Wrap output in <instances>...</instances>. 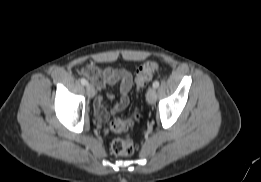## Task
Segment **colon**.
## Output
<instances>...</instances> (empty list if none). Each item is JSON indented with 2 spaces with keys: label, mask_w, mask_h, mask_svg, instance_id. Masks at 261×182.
Returning a JSON list of instances; mask_svg holds the SVG:
<instances>
[{
  "label": "colon",
  "mask_w": 261,
  "mask_h": 182,
  "mask_svg": "<svg viewBox=\"0 0 261 182\" xmlns=\"http://www.w3.org/2000/svg\"><path fill=\"white\" fill-rule=\"evenodd\" d=\"M158 68V63L154 61H146L138 68L135 77L136 88L138 91H140L146 83L150 81L153 74L157 72ZM140 118V111L136 109L126 118L113 119L110 124V128L115 133H123L133 127L134 124L140 120ZM110 150L115 155L129 156L134 153L135 146L132 139L126 137L124 139H114L110 144Z\"/></svg>",
  "instance_id": "obj_1"
}]
</instances>
